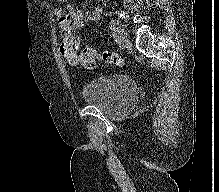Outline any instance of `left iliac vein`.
<instances>
[{
    "mask_svg": "<svg viewBox=\"0 0 219 192\" xmlns=\"http://www.w3.org/2000/svg\"><path fill=\"white\" fill-rule=\"evenodd\" d=\"M118 38H119V42L120 44L125 48V47H129L130 46V42L129 39L127 37V32L126 29L121 25L118 24L116 26V30H115Z\"/></svg>",
    "mask_w": 219,
    "mask_h": 192,
    "instance_id": "1",
    "label": "left iliac vein"
}]
</instances>
